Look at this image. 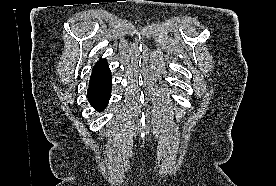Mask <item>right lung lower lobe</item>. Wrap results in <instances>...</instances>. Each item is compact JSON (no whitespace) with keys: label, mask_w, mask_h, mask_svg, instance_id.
<instances>
[{"label":"right lung lower lobe","mask_w":276,"mask_h":186,"mask_svg":"<svg viewBox=\"0 0 276 186\" xmlns=\"http://www.w3.org/2000/svg\"><path fill=\"white\" fill-rule=\"evenodd\" d=\"M111 77L101 81L90 82L88 88V101L98 112L103 111L107 106L111 93Z\"/></svg>","instance_id":"right-lung-lower-lobe-1"}]
</instances>
